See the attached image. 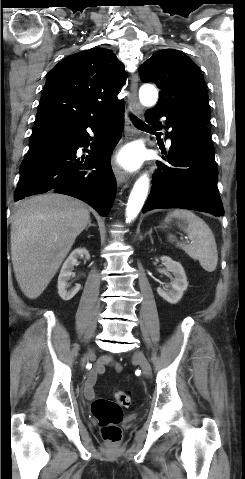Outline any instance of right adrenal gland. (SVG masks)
I'll return each mask as SVG.
<instances>
[{
  "label": "right adrenal gland",
  "instance_id": "1",
  "mask_svg": "<svg viewBox=\"0 0 245 479\" xmlns=\"http://www.w3.org/2000/svg\"><path fill=\"white\" fill-rule=\"evenodd\" d=\"M91 226H95V224H92L91 222H89L88 226L86 227V230H88V228Z\"/></svg>",
  "mask_w": 245,
  "mask_h": 479
}]
</instances>
